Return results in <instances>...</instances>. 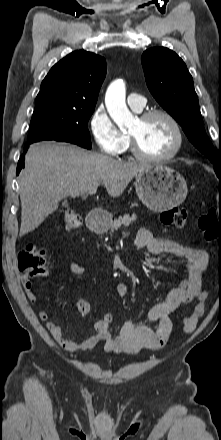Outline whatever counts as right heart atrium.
Instances as JSON below:
<instances>
[{
    "label": "right heart atrium",
    "mask_w": 221,
    "mask_h": 440,
    "mask_svg": "<svg viewBox=\"0 0 221 440\" xmlns=\"http://www.w3.org/2000/svg\"><path fill=\"white\" fill-rule=\"evenodd\" d=\"M89 129L94 142L103 154L117 156L129 145L128 137L118 129L104 106H98L92 112Z\"/></svg>",
    "instance_id": "right-heart-atrium-1"
}]
</instances>
